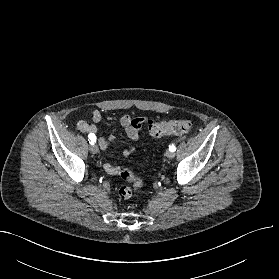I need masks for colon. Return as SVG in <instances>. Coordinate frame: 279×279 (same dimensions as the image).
<instances>
[{"mask_svg": "<svg viewBox=\"0 0 279 279\" xmlns=\"http://www.w3.org/2000/svg\"><path fill=\"white\" fill-rule=\"evenodd\" d=\"M192 128L189 120H170L166 122L150 121L148 125L149 134L155 138L168 135H181L188 133ZM121 178L129 183L119 188L118 194L121 199H129L133 194L144 187V181L133 174L129 168H124L120 173Z\"/></svg>", "mask_w": 279, "mask_h": 279, "instance_id": "1", "label": "colon"}]
</instances>
